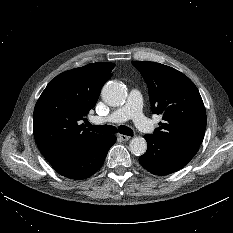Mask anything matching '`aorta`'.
Masks as SVG:
<instances>
[{
    "mask_svg": "<svg viewBox=\"0 0 233 233\" xmlns=\"http://www.w3.org/2000/svg\"><path fill=\"white\" fill-rule=\"evenodd\" d=\"M102 99L110 106L122 105L127 97L125 87L117 81L107 82L101 91ZM129 150L136 156L143 155L147 150V142L143 137H134L129 143Z\"/></svg>",
    "mask_w": 233,
    "mask_h": 233,
    "instance_id": "762f6f07",
    "label": "aorta"
}]
</instances>
